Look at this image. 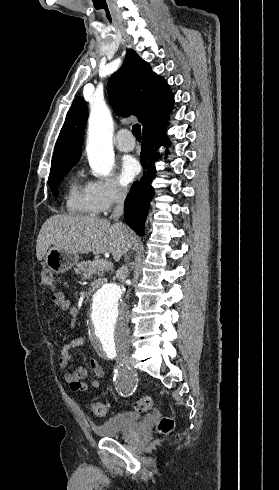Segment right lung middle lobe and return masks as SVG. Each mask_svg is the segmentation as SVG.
I'll return each mask as SVG.
<instances>
[{"label":"right lung middle lobe","mask_w":279,"mask_h":490,"mask_svg":"<svg viewBox=\"0 0 279 490\" xmlns=\"http://www.w3.org/2000/svg\"><path fill=\"white\" fill-rule=\"evenodd\" d=\"M73 165L61 167L50 171L49 185L55 196L58 195V187L62 181V177L72 168Z\"/></svg>","instance_id":"dd1d6c3e"}]
</instances>
